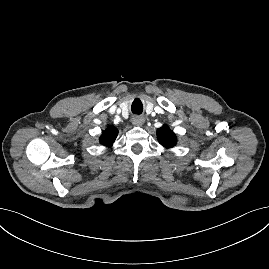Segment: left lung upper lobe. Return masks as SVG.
Wrapping results in <instances>:
<instances>
[{
  "instance_id": "left-lung-upper-lobe-1",
  "label": "left lung upper lobe",
  "mask_w": 269,
  "mask_h": 269,
  "mask_svg": "<svg viewBox=\"0 0 269 269\" xmlns=\"http://www.w3.org/2000/svg\"><path fill=\"white\" fill-rule=\"evenodd\" d=\"M157 138L159 143L165 148H171L177 142L176 135L167 125H163L157 130Z\"/></svg>"
}]
</instances>
